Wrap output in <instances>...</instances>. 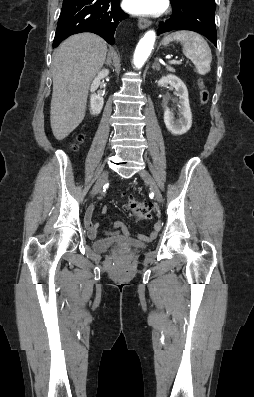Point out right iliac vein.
I'll use <instances>...</instances> for the list:
<instances>
[{
    "mask_svg": "<svg viewBox=\"0 0 254 397\" xmlns=\"http://www.w3.org/2000/svg\"><path fill=\"white\" fill-rule=\"evenodd\" d=\"M108 178V172L104 171L101 176L98 178L96 184L94 185L93 189H92V196H95L103 187V185L105 184V182L107 181Z\"/></svg>",
    "mask_w": 254,
    "mask_h": 397,
    "instance_id": "1",
    "label": "right iliac vein"
}]
</instances>
